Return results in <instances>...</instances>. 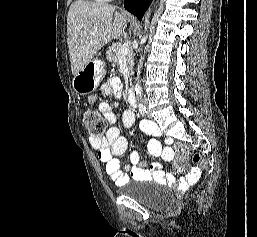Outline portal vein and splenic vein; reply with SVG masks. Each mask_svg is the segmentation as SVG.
<instances>
[{"label":"portal vein and splenic vein","mask_w":257,"mask_h":237,"mask_svg":"<svg viewBox=\"0 0 257 237\" xmlns=\"http://www.w3.org/2000/svg\"><path fill=\"white\" fill-rule=\"evenodd\" d=\"M129 51V45L127 43H124L121 45L120 49L118 50V55H125Z\"/></svg>","instance_id":"1"}]
</instances>
